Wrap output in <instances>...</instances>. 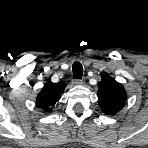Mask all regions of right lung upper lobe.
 Listing matches in <instances>:
<instances>
[{
    "label": "right lung upper lobe",
    "instance_id": "right-lung-upper-lobe-1",
    "mask_svg": "<svg viewBox=\"0 0 148 148\" xmlns=\"http://www.w3.org/2000/svg\"><path fill=\"white\" fill-rule=\"evenodd\" d=\"M66 87L65 82L52 83L48 81L36 98V106L44 112H51L52 107L60 99L61 93Z\"/></svg>",
    "mask_w": 148,
    "mask_h": 148
}]
</instances>
